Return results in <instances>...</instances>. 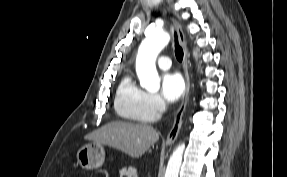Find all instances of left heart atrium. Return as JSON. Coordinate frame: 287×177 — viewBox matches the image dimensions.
Wrapping results in <instances>:
<instances>
[{
	"label": "left heart atrium",
	"mask_w": 287,
	"mask_h": 177,
	"mask_svg": "<svg viewBox=\"0 0 287 177\" xmlns=\"http://www.w3.org/2000/svg\"><path fill=\"white\" fill-rule=\"evenodd\" d=\"M185 83L182 76L176 72H168L162 77L161 93L167 102L178 100L184 93Z\"/></svg>",
	"instance_id": "1"
}]
</instances>
